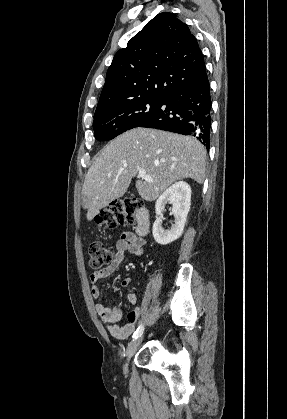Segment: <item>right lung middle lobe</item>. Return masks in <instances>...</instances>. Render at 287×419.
Instances as JSON below:
<instances>
[{"instance_id": "right-lung-middle-lobe-1", "label": "right lung middle lobe", "mask_w": 287, "mask_h": 419, "mask_svg": "<svg viewBox=\"0 0 287 419\" xmlns=\"http://www.w3.org/2000/svg\"><path fill=\"white\" fill-rule=\"evenodd\" d=\"M163 97H143L125 101L94 115V136L99 141H108L123 132L138 127L151 116Z\"/></svg>"}]
</instances>
